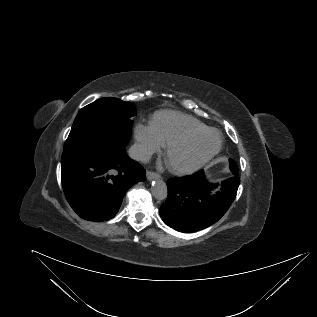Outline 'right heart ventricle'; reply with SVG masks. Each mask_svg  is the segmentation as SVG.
Segmentation results:
<instances>
[{
  "mask_svg": "<svg viewBox=\"0 0 317 317\" xmlns=\"http://www.w3.org/2000/svg\"><path fill=\"white\" fill-rule=\"evenodd\" d=\"M150 127L162 147L186 132L207 128L196 118L171 110L155 112L150 119Z\"/></svg>",
  "mask_w": 317,
  "mask_h": 317,
  "instance_id": "e07e8e85",
  "label": "right heart ventricle"
}]
</instances>
